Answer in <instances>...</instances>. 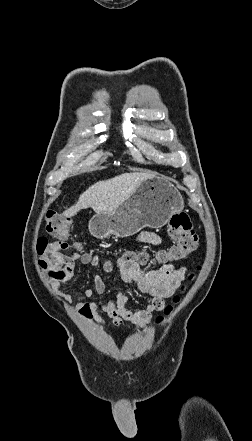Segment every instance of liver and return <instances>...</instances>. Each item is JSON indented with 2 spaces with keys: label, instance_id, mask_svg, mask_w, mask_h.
<instances>
[{
  "label": "liver",
  "instance_id": "1",
  "mask_svg": "<svg viewBox=\"0 0 252 441\" xmlns=\"http://www.w3.org/2000/svg\"><path fill=\"white\" fill-rule=\"evenodd\" d=\"M153 177L150 173L132 172L98 181L83 192L77 203L63 212V216L72 217L89 207L96 213H111L127 200L143 181Z\"/></svg>",
  "mask_w": 252,
  "mask_h": 441
}]
</instances>
